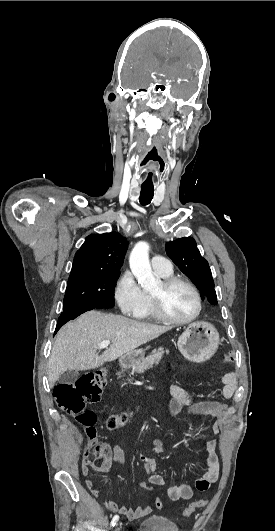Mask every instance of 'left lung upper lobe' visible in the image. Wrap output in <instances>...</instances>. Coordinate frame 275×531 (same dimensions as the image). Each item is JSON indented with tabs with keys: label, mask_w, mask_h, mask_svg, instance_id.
Wrapping results in <instances>:
<instances>
[{
	"label": "left lung upper lobe",
	"mask_w": 275,
	"mask_h": 531,
	"mask_svg": "<svg viewBox=\"0 0 275 531\" xmlns=\"http://www.w3.org/2000/svg\"><path fill=\"white\" fill-rule=\"evenodd\" d=\"M167 255L201 291L202 299L207 298L212 305L217 304L214 281L208 262L203 258L191 237H183L166 243Z\"/></svg>",
	"instance_id": "left-lung-upper-lobe-1"
}]
</instances>
